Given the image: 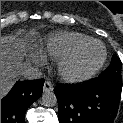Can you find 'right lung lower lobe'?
Masks as SVG:
<instances>
[{"mask_svg":"<svg viewBox=\"0 0 123 123\" xmlns=\"http://www.w3.org/2000/svg\"><path fill=\"white\" fill-rule=\"evenodd\" d=\"M44 79L18 81L1 100V123H25L28 107L42 95Z\"/></svg>","mask_w":123,"mask_h":123,"instance_id":"98d812e1","label":"right lung lower lobe"}]
</instances>
